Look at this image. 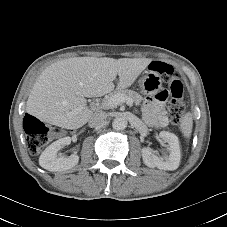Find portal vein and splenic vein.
Returning <instances> with one entry per match:
<instances>
[{"label":"portal vein and splenic vein","instance_id":"18ae733b","mask_svg":"<svg viewBox=\"0 0 227 227\" xmlns=\"http://www.w3.org/2000/svg\"><path fill=\"white\" fill-rule=\"evenodd\" d=\"M122 103H126L128 106L133 105V100L131 98H127L124 95H114L110 99H108L106 102H104V105L108 107H115L117 105H120ZM83 107H79L75 110V112H78L82 109Z\"/></svg>","mask_w":227,"mask_h":227}]
</instances>
